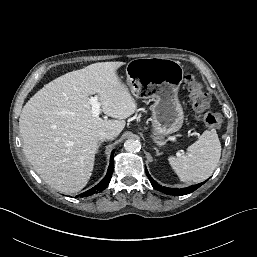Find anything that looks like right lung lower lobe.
I'll use <instances>...</instances> for the list:
<instances>
[{"label":"right lung lower lobe","mask_w":257,"mask_h":257,"mask_svg":"<svg viewBox=\"0 0 257 257\" xmlns=\"http://www.w3.org/2000/svg\"><path fill=\"white\" fill-rule=\"evenodd\" d=\"M113 154H114V150L112 151V154H111V157H110V165L108 167L107 174L103 178V180L101 182H99L96 186H94L90 190L80 194L79 196H81V197H88V196H91V195H93L95 193L101 192L102 190H104L107 187V185L110 182L112 173H113Z\"/></svg>","instance_id":"obj_1"}]
</instances>
